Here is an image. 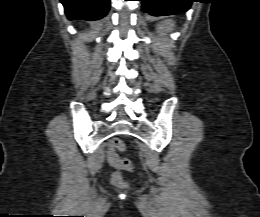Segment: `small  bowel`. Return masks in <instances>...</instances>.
Segmentation results:
<instances>
[{
    "instance_id": "obj_1",
    "label": "small bowel",
    "mask_w": 260,
    "mask_h": 217,
    "mask_svg": "<svg viewBox=\"0 0 260 217\" xmlns=\"http://www.w3.org/2000/svg\"><path fill=\"white\" fill-rule=\"evenodd\" d=\"M118 155L116 154L114 148L111 146L110 144V148L108 150V160H109V163L112 165V166H117V161H118Z\"/></svg>"
}]
</instances>
